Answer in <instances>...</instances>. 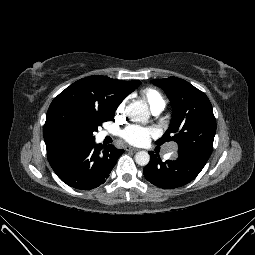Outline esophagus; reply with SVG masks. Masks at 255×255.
<instances>
[{
  "label": "esophagus",
  "mask_w": 255,
  "mask_h": 255,
  "mask_svg": "<svg viewBox=\"0 0 255 255\" xmlns=\"http://www.w3.org/2000/svg\"><path fill=\"white\" fill-rule=\"evenodd\" d=\"M125 150H126V151H131V152H136V151H138L137 148H133V147H130V146L125 147Z\"/></svg>",
  "instance_id": "obj_1"
}]
</instances>
